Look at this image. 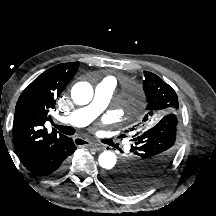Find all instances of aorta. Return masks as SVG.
<instances>
[{"instance_id": "aorta-1", "label": "aorta", "mask_w": 216, "mask_h": 216, "mask_svg": "<svg viewBox=\"0 0 216 216\" xmlns=\"http://www.w3.org/2000/svg\"><path fill=\"white\" fill-rule=\"evenodd\" d=\"M73 101L78 105H86L93 98V88L88 82H79L75 84L71 91ZM99 165L106 170L114 168L117 157L112 151H104L99 155Z\"/></svg>"}]
</instances>
